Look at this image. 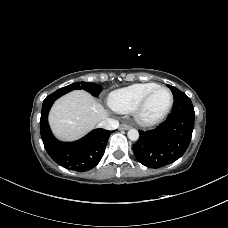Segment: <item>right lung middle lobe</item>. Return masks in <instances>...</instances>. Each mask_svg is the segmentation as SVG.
Wrapping results in <instances>:
<instances>
[{"label":"right lung middle lobe","instance_id":"1","mask_svg":"<svg viewBox=\"0 0 228 228\" xmlns=\"http://www.w3.org/2000/svg\"><path fill=\"white\" fill-rule=\"evenodd\" d=\"M75 89H83L87 92H89L90 94H92L93 96H98L99 93L102 91V87L96 83H89V82H76V83H73L71 85H68L66 87H63L61 89H58L56 91V93H59V94H65V93H68L72 90H75Z\"/></svg>","mask_w":228,"mask_h":228}]
</instances>
